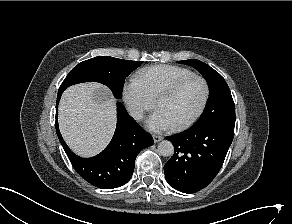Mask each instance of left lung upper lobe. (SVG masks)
<instances>
[{
  "mask_svg": "<svg viewBox=\"0 0 292 224\" xmlns=\"http://www.w3.org/2000/svg\"><path fill=\"white\" fill-rule=\"evenodd\" d=\"M180 62L196 68L206 79L209 86L208 103L194 127L225 115L235 114V105L229 87L218 72L199 60L189 59Z\"/></svg>",
  "mask_w": 292,
  "mask_h": 224,
  "instance_id": "1",
  "label": "left lung upper lobe"
}]
</instances>
